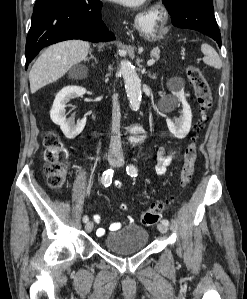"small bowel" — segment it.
<instances>
[{
    "mask_svg": "<svg viewBox=\"0 0 247 299\" xmlns=\"http://www.w3.org/2000/svg\"><path fill=\"white\" fill-rule=\"evenodd\" d=\"M157 159H158V165L156 167V172L159 175H162L165 173L166 168L170 165L171 161H172V157L171 155H169L168 153H166L164 150H159L158 155H157ZM116 186L118 188L121 187L120 183H117ZM120 208L122 210H126V205L125 204H121ZM93 219L96 223H100L102 216L100 214H95L93 216ZM121 227V224L119 222H113L110 224V230L112 231H116ZM98 236H103L105 234V230L102 228L97 229L96 231Z\"/></svg>",
    "mask_w": 247,
    "mask_h": 299,
    "instance_id": "c3829d8e",
    "label": "small bowel"
}]
</instances>
